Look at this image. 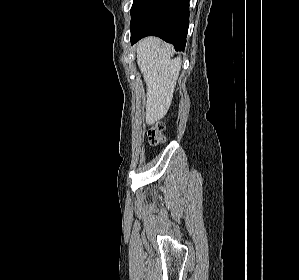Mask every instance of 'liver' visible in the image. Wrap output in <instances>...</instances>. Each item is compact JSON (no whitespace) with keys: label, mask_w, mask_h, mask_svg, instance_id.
<instances>
[{"label":"liver","mask_w":299,"mask_h":280,"mask_svg":"<svg viewBox=\"0 0 299 280\" xmlns=\"http://www.w3.org/2000/svg\"><path fill=\"white\" fill-rule=\"evenodd\" d=\"M137 64L147 86L146 123L151 125L168 112L176 81L181 70V58L171 59L173 47L157 37H147L137 44Z\"/></svg>","instance_id":"6515ba94"}]
</instances>
